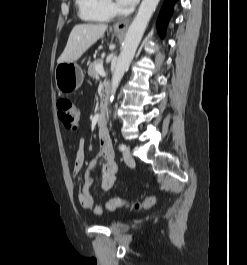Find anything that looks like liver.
Returning <instances> with one entry per match:
<instances>
[{
    "label": "liver",
    "mask_w": 247,
    "mask_h": 265,
    "mask_svg": "<svg viewBox=\"0 0 247 265\" xmlns=\"http://www.w3.org/2000/svg\"><path fill=\"white\" fill-rule=\"evenodd\" d=\"M106 24H78L72 29L66 47L57 63L75 62L91 47L107 30Z\"/></svg>",
    "instance_id": "1"
}]
</instances>
